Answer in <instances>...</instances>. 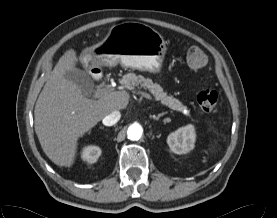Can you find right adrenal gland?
Wrapping results in <instances>:
<instances>
[{
	"label": "right adrenal gland",
	"mask_w": 277,
	"mask_h": 218,
	"mask_svg": "<svg viewBox=\"0 0 277 218\" xmlns=\"http://www.w3.org/2000/svg\"><path fill=\"white\" fill-rule=\"evenodd\" d=\"M100 129H104V127H100Z\"/></svg>",
	"instance_id": "obj_1"
}]
</instances>
